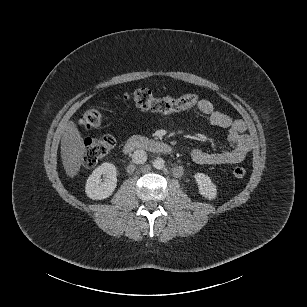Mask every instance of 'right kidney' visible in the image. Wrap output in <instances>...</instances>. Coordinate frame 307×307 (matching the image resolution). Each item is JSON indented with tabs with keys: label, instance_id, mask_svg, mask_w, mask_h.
<instances>
[{
	"label": "right kidney",
	"instance_id": "right-kidney-1",
	"mask_svg": "<svg viewBox=\"0 0 307 307\" xmlns=\"http://www.w3.org/2000/svg\"><path fill=\"white\" fill-rule=\"evenodd\" d=\"M104 175L103 180L101 176ZM117 185L115 165L103 163L89 176L85 186L87 196L93 200H102L112 195Z\"/></svg>",
	"mask_w": 307,
	"mask_h": 307
}]
</instances>
